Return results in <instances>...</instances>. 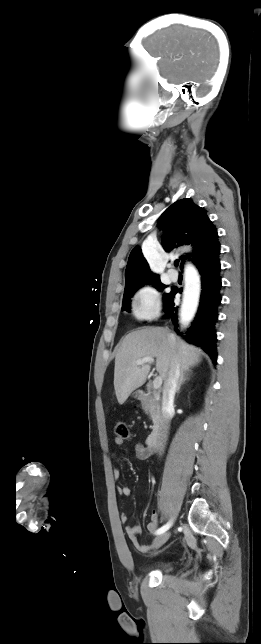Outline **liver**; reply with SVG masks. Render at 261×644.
I'll return each mask as SVG.
<instances>
[{"instance_id": "liver-1", "label": "liver", "mask_w": 261, "mask_h": 644, "mask_svg": "<svg viewBox=\"0 0 261 644\" xmlns=\"http://www.w3.org/2000/svg\"><path fill=\"white\" fill-rule=\"evenodd\" d=\"M201 353L199 348L165 328L147 327L131 332L124 338L115 356L114 388L118 403L122 405L146 381L150 365H137V360L155 357L156 370L165 382L174 357H178L180 370L185 372L201 361Z\"/></svg>"}]
</instances>
